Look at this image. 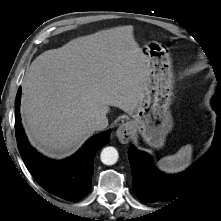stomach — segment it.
Returning <instances> with one entry per match:
<instances>
[{"label": "stomach", "instance_id": "1", "mask_svg": "<svg viewBox=\"0 0 221 221\" xmlns=\"http://www.w3.org/2000/svg\"><path fill=\"white\" fill-rule=\"evenodd\" d=\"M150 68V82L144 97L128 123L132 134H140L152 148L164 146L173 128L171 105L175 98L172 60L167 48L159 42L142 47Z\"/></svg>", "mask_w": 221, "mask_h": 221}]
</instances>
